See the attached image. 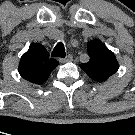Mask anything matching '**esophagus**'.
Returning <instances> with one entry per match:
<instances>
[{"label":"esophagus","mask_w":135,"mask_h":135,"mask_svg":"<svg viewBox=\"0 0 135 135\" xmlns=\"http://www.w3.org/2000/svg\"><path fill=\"white\" fill-rule=\"evenodd\" d=\"M73 60V56L72 55H67L65 58H60L59 59V61L61 62V63H64V62H70V61H72Z\"/></svg>","instance_id":"1"}]
</instances>
